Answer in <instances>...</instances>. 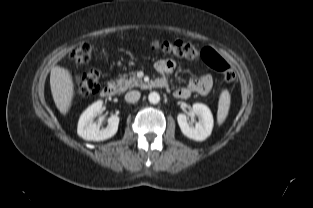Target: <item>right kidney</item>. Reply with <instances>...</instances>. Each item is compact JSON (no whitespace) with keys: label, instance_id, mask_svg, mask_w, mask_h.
Instances as JSON below:
<instances>
[{"label":"right kidney","instance_id":"1","mask_svg":"<svg viewBox=\"0 0 313 208\" xmlns=\"http://www.w3.org/2000/svg\"><path fill=\"white\" fill-rule=\"evenodd\" d=\"M103 102L101 100L89 106L80 116L78 121L77 133L80 137L87 141H103L113 137L119 124L118 116H111L108 119V125L104 129L94 122V118L103 112Z\"/></svg>","mask_w":313,"mask_h":208}]
</instances>
